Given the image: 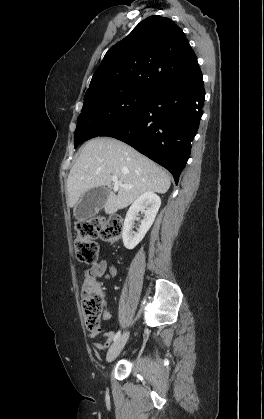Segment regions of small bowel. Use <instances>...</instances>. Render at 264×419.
Segmentation results:
<instances>
[{
    "mask_svg": "<svg viewBox=\"0 0 264 419\" xmlns=\"http://www.w3.org/2000/svg\"><path fill=\"white\" fill-rule=\"evenodd\" d=\"M116 267L108 264L106 260H100L92 265L91 268L84 271L85 278H93L95 280H109L116 275ZM111 318V313L108 309L103 312V320L107 321ZM99 332H90V338L94 341L95 346L100 350H106L111 345L115 333L113 330H107L103 333L102 339H99Z\"/></svg>",
    "mask_w": 264,
    "mask_h": 419,
    "instance_id": "1",
    "label": "small bowel"
}]
</instances>
